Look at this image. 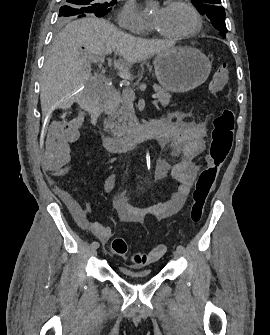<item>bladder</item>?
<instances>
[{
  "label": "bladder",
  "instance_id": "obj_1",
  "mask_svg": "<svg viewBox=\"0 0 270 335\" xmlns=\"http://www.w3.org/2000/svg\"><path fill=\"white\" fill-rule=\"evenodd\" d=\"M123 273L126 274L127 277L132 281H137V280H140V279H147V278H151L153 276V271L152 270H148V271L142 272L140 274H137L135 272H130L128 270H126Z\"/></svg>",
  "mask_w": 270,
  "mask_h": 335
}]
</instances>
